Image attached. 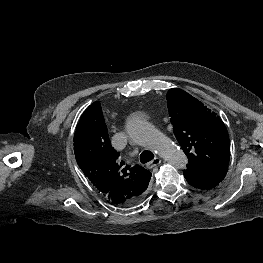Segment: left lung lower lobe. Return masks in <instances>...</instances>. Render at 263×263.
Listing matches in <instances>:
<instances>
[{"label":"left lung lower lobe","mask_w":263,"mask_h":263,"mask_svg":"<svg viewBox=\"0 0 263 263\" xmlns=\"http://www.w3.org/2000/svg\"><path fill=\"white\" fill-rule=\"evenodd\" d=\"M228 168L201 169L188 167L183 171L187 182L195 188L209 190L217 186L226 176Z\"/></svg>","instance_id":"obj_1"}]
</instances>
